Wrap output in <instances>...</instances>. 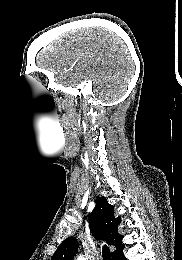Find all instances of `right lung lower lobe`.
<instances>
[{
	"mask_svg": "<svg viewBox=\"0 0 182 260\" xmlns=\"http://www.w3.org/2000/svg\"><path fill=\"white\" fill-rule=\"evenodd\" d=\"M113 260H126L123 250L112 256Z\"/></svg>",
	"mask_w": 182,
	"mask_h": 260,
	"instance_id": "98d812e1",
	"label": "right lung lower lobe"
}]
</instances>
